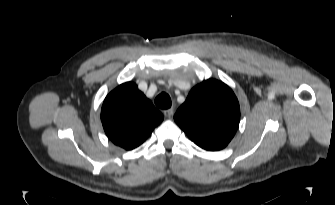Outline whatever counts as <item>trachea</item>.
<instances>
[{
  "label": "trachea",
  "mask_w": 335,
  "mask_h": 205,
  "mask_svg": "<svg viewBox=\"0 0 335 205\" xmlns=\"http://www.w3.org/2000/svg\"><path fill=\"white\" fill-rule=\"evenodd\" d=\"M155 104L161 109H168L171 107L172 102L170 96L163 92L156 97Z\"/></svg>",
  "instance_id": "1"
}]
</instances>
